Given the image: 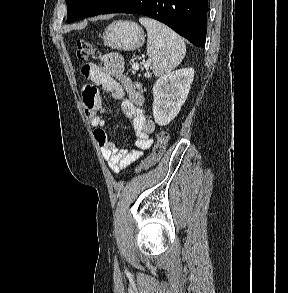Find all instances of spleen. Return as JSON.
<instances>
[{"mask_svg":"<svg viewBox=\"0 0 288 293\" xmlns=\"http://www.w3.org/2000/svg\"><path fill=\"white\" fill-rule=\"evenodd\" d=\"M139 22L147 30V55L152 61L153 73L157 77L175 69L186 54L183 39L163 23L141 17Z\"/></svg>","mask_w":288,"mask_h":293,"instance_id":"3e777b00","label":"spleen"}]
</instances>
